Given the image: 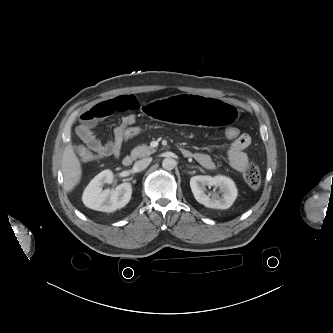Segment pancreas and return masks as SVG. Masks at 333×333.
I'll return each instance as SVG.
<instances>
[{
  "instance_id": "obj_1",
  "label": "pancreas",
  "mask_w": 333,
  "mask_h": 333,
  "mask_svg": "<svg viewBox=\"0 0 333 333\" xmlns=\"http://www.w3.org/2000/svg\"><path fill=\"white\" fill-rule=\"evenodd\" d=\"M154 152H156V149H154L150 146L142 145V146L135 147L132 150L131 155L134 158H138V157L143 158V157L151 155Z\"/></svg>"
}]
</instances>
